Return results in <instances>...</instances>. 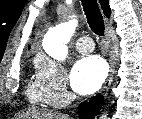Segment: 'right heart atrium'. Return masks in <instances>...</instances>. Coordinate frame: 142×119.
Returning <instances> with one entry per match:
<instances>
[{"instance_id":"1","label":"right heart atrium","mask_w":142,"mask_h":119,"mask_svg":"<svg viewBox=\"0 0 142 119\" xmlns=\"http://www.w3.org/2000/svg\"><path fill=\"white\" fill-rule=\"evenodd\" d=\"M36 67L37 79L44 90L46 102L55 107L65 105L70 92L63 66L46 56H40Z\"/></svg>"}]
</instances>
